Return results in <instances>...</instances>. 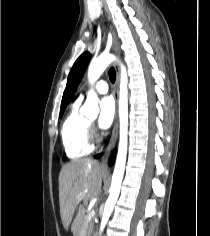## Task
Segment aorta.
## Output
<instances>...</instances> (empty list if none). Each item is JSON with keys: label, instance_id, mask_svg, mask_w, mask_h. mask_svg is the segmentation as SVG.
Segmentation results:
<instances>
[{"label": "aorta", "instance_id": "762f6f07", "mask_svg": "<svg viewBox=\"0 0 210 236\" xmlns=\"http://www.w3.org/2000/svg\"><path fill=\"white\" fill-rule=\"evenodd\" d=\"M115 56L109 53H102L98 58L93 59L88 68V80L93 84L105 71L107 66L114 61ZM128 77L126 68L121 65L120 77V93H119V118H120V140L118 146V153L115 163V168L112 176L110 187V195L105 203V208L101 221V231L107 224L109 217L118 199L121 183L124 176L126 156H127V140H128ZM81 113L87 117L95 118L99 113L98 96L91 90L88 93Z\"/></svg>", "mask_w": 210, "mask_h": 236}]
</instances>
